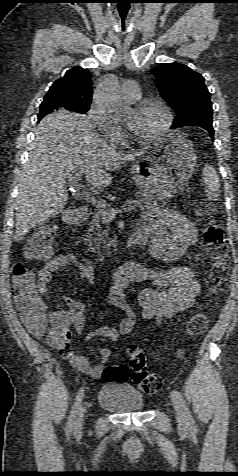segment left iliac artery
<instances>
[{
	"label": "left iliac artery",
	"mask_w": 238,
	"mask_h": 476,
	"mask_svg": "<svg viewBox=\"0 0 238 476\" xmlns=\"http://www.w3.org/2000/svg\"><path fill=\"white\" fill-rule=\"evenodd\" d=\"M172 395L179 401V403L181 404V406L185 410L186 420H187V423H188L189 427L192 430H196V426H195V422H194V419L192 417V414H191L190 410L188 409V407L186 406V403H185L181 393L177 390H173Z\"/></svg>",
	"instance_id": "1"
}]
</instances>
